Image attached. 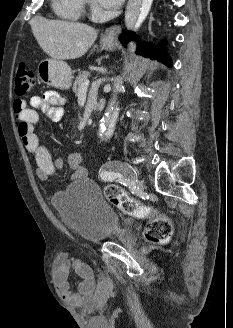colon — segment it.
<instances>
[{
	"label": "colon",
	"mask_w": 233,
	"mask_h": 328,
	"mask_svg": "<svg viewBox=\"0 0 233 328\" xmlns=\"http://www.w3.org/2000/svg\"><path fill=\"white\" fill-rule=\"evenodd\" d=\"M35 82V76L31 69L21 63L15 75V93L22 97L29 94ZM107 200L118 207L125 214L134 217H146L152 214V209L131 198L121 187L107 185L104 189ZM172 233V223L165 217L154 219L149 225L146 236L150 241L162 242Z\"/></svg>",
	"instance_id": "5ec220e1"
}]
</instances>
